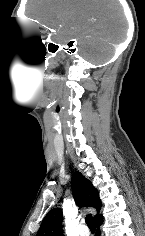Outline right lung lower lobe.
Here are the masks:
<instances>
[{
    "label": "right lung lower lobe",
    "instance_id": "1",
    "mask_svg": "<svg viewBox=\"0 0 145 236\" xmlns=\"http://www.w3.org/2000/svg\"><path fill=\"white\" fill-rule=\"evenodd\" d=\"M102 222H103V217L102 216L100 218H98L97 220H95V224L97 226L96 236H100L99 226L102 224Z\"/></svg>",
    "mask_w": 145,
    "mask_h": 236
}]
</instances>
